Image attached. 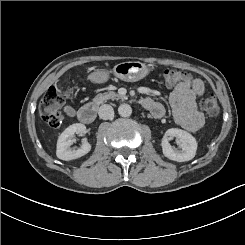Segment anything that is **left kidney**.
<instances>
[{
	"label": "left kidney",
	"instance_id": "obj_1",
	"mask_svg": "<svg viewBox=\"0 0 245 245\" xmlns=\"http://www.w3.org/2000/svg\"><path fill=\"white\" fill-rule=\"evenodd\" d=\"M172 137H175L176 144L179 145L182 150L175 151L172 149V146L168 142V139ZM197 146L196 138L191 133L178 128L168 129L162 140L163 155L176 162L192 160L196 155Z\"/></svg>",
	"mask_w": 245,
	"mask_h": 245
}]
</instances>
